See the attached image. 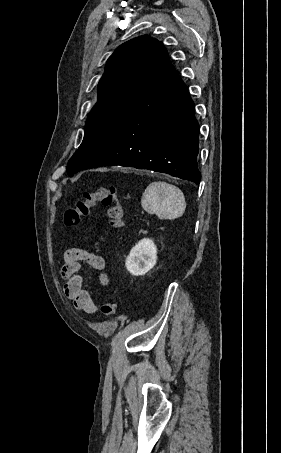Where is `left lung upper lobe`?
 Segmentation results:
<instances>
[{
    "instance_id": "5c2ea615",
    "label": "left lung upper lobe",
    "mask_w": 281,
    "mask_h": 453,
    "mask_svg": "<svg viewBox=\"0 0 281 453\" xmlns=\"http://www.w3.org/2000/svg\"><path fill=\"white\" fill-rule=\"evenodd\" d=\"M167 60L163 44L147 35L123 43L109 57L98 84V101L86 121L84 139L68 162L69 176L91 162L106 146Z\"/></svg>"
}]
</instances>
